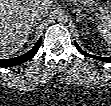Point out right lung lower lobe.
Masks as SVG:
<instances>
[{
	"label": "right lung lower lobe",
	"mask_w": 111,
	"mask_h": 106,
	"mask_svg": "<svg viewBox=\"0 0 111 106\" xmlns=\"http://www.w3.org/2000/svg\"><path fill=\"white\" fill-rule=\"evenodd\" d=\"M40 43H41V37L37 41L36 45L27 53L21 56L15 57V58L0 59V67H12V66L21 64L23 62H26L27 60L31 59L36 54L37 50L40 47Z\"/></svg>",
	"instance_id": "right-lung-lower-lobe-1"
}]
</instances>
